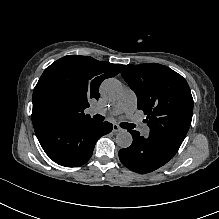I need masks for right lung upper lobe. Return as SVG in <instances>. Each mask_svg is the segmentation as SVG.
<instances>
[{"instance_id": "1", "label": "right lung upper lobe", "mask_w": 219, "mask_h": 219, "mask_svg": "<svg viewBox=\"0 0 219 219\" xmlns=\"http://www.w3.org/2000/svg\"><path fill=\"white\" fill-rule=\"evenodd\" d=\"M121 64L68 55L45 69L33 91L32 122L91 120L84 110L100 97L98 87L120 71Z\"/></svg>"}]
</instances>
